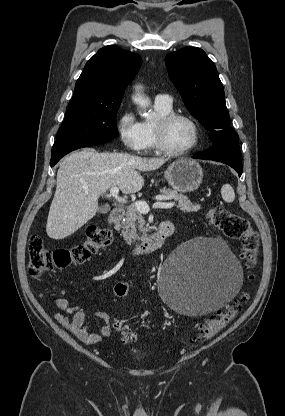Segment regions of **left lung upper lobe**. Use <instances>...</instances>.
I'll use <instances>...</instances> for the list:
<instances>
[{"label":"left lung upper lobe","instance_id":"obj_1","mask_svg":"<svg viewBox=\"0 0 285 416\" xmlns=\"http://www.w3.org/2000/svg\"><path fill=\"white\" fill-rule=\"evenodd\" d=\"M165 63L186 108L210 131L212 142L239 141L238 134L229 126L224 88L215 64L205 52L185 47L169 53Z\"/></svg>","mask_w":285,"mask_h":416}]
</instances>
